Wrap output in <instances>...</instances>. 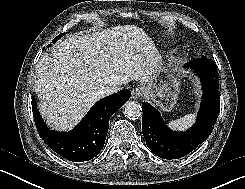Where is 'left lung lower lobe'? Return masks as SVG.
Instances as JSON below:
<instances>
[{
  "label": "left lung lower lobe",
  "mask_w": 245,
  "mask_h": 189,
  "mask_svg": "<svg viewBox=\"0 0 245 189\" xmlns=\"http://www.w3.org/2000/svg\"><path fill=\"white\" fill-rule=\"evenodd\" d=\"M200 76L203 97L196 123L185 132L168 128L159 111L147 102L142 103V133L148 148L163 159L181 158L202 144L211 134L220 110L217 65L205 56L185 65Z\"/></svg>",
  "instance_id": "obj_1"
}]
</instances>
